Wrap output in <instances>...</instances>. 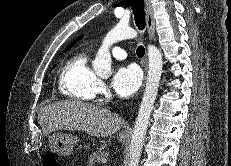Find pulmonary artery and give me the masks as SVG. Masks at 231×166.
I'll use <instances>...</instances> for the list:
<instances>
[{"mask_svg":"<svg viewBox=\"0 0 231 166\" xmlns=\"http://www.w3.org/2000/svg\"><path fill=\"white\" fill-rule=\"evenodd\" d=\"M112 55L117 59H125L127 57L126 51L118 46L112 48Z\"/></svg>","mask_w":231,"mask_h":166,"instance_id":"obj_1","label":"pulmonary artery"}]
</instances>
